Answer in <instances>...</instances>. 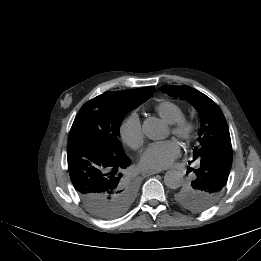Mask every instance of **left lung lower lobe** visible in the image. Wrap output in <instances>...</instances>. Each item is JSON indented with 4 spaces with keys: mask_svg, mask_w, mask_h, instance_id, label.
I'll list each match as a JSON object with an SVG mask.
<instances>
[{
    "mask_svg": "<svg viewBox=\"0 0 261 261\" xmlns=\"http://www.w3.org/2000/svg\"><path fill=\"white\" fill-rule=\"evenodd\" d=\"M190 163H191V161H190ZM225 170L227 171L228 169H225ZM189 171H192V169L190 167H188V172ZM193 172L195 173L194 180H205V179H207V177L214 176V175H215V178H225L224 176H222V174H226L225 172H222V171L215 172L212 164H209L208 161H204V163L201 164ZM219 172H221V173H219Z\"/></svg>",
    "mask_w": 261,
    "mask_h": 261,
    "instance_id": "left-lung-lower-lobe-1",
    "label": "left lung lower lobe"
}]
</instances>
